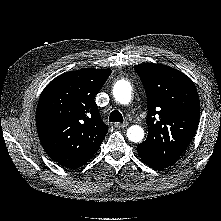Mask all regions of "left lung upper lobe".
Returning <instances> with one entry per match:
<instances>
[{
    "mask_svg": "<svg viewBox=\"0 0 221 221\" xmlns=\"http://www.w3.org/2000/svg\"><path fill=\"white\" fill-rule=\"evenodd\" d=\"M147 97L148 136L137 149L174 164L193 139L200 115V103L193 81L165 65H135Z\"/></svg>",
    "mask_w": 221,
    "mask_h": 221,
    "instance_id": "1",
    "label": "left lung upper lobe"
}]
</instances>
